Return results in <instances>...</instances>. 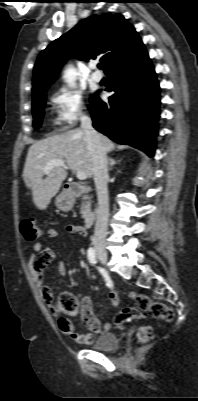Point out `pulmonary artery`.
Masks as SVG:
<instances>
[{
	"instance_id": "e3ab8cb5",
	"label": "pulmonary artery",
	"mask_w": 198,
	"mask_h": 401,
	"mask_svg": "<svg viewBox=\"0 0 198 401\" xmlns=\"http://www.w3.org/2000/svg\"><path fill=\"white\" fill-rule=\"evenodd\" d=\"M92 68L94 69V72L92 74L93 81L97 83L101 82L103 79V75L100 71L97 70V65L95 63L92 65Z\"/></svg>"
}]
</instances>
